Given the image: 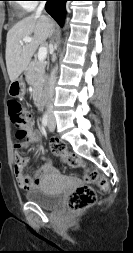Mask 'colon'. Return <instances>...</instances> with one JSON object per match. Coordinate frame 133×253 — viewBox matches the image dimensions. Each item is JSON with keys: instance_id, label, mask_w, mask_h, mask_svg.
<instances>
[{"instance_id": "5ec220e1", "label": "colon", "mask_w": 133, "mask_h": 253, "mask_svg": "<svg viewBox=\"0 0 133 253\" xmlns=\"http://www.w3.org/2000/svg\"><path fill=\"white\" fill-rule=\"evenodd\" d=\"M8 113L13 126L16 128V138L26 139L31 131V115L26 107L16 100L8 101ZM52 151L60 156L66 164L71 167H80L83 165L80 157L66 150L64 144L54 140L51 142ZM90 177L102 189L108 188V182L105 177L97 171H92ZM97 196L93 187L85 185L77 188L67 199V208L70 211H80L91 207L96 202Z\"/></svg>"}]
</instances>
